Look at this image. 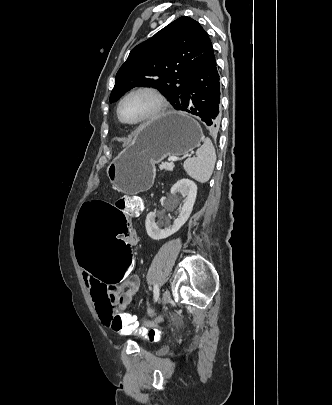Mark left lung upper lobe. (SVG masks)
<instances>
[{
	"label": "left lung upper lobe",
	"instance_id": "1",
	"mask_svg": "<svg viewBox=\"0 0 332 405\" xmlns=\"http://www.w3.org/2000/svg\"><path fill=\"white\" fill-rule=\"evenodd\" d=\"M211 49L208 34L197 21L185 16L176 19L131 50L117 72L110 102L133 87L152 86L177 107Z\"/></svg>",
	"mask_w": 332,
	"mask_h": 405
}]
</instances>
